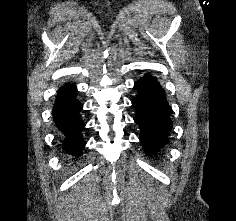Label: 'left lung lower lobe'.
<instances>
[{"label": "left lung lower lobe", "instance_id": "obj_1", "mask_svg": "<svg viewBox=\"0 0 236 221\" xmlns=\"http://www.w3.org/2000/svg\"><path fill=\"white\" fill-rule=\"evenodd\" d=\"M138 95L132 101L137 109L134 118L140 126V141L149 155L168 143L167 135L172 128L170 107L159 82L146 74L135 83Z\"/></svg>", "mask_w": 236, "mask_h": 221}]
</instances>
